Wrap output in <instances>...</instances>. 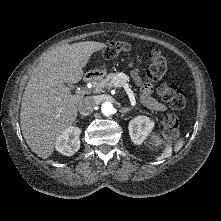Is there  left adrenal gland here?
Instances as JSON below:
<instances>
[{"label": "left adrenal gland", "instance_id": "obj_1", "mask_svg": "<svg viewBox=\"0 0 221 221\" xmlns=\"http://www.w3.org/2000/svg\"><path fill=\"white\" fill-rule=\"evenodd\" d=\"M130 110H131L130 108H126V107L123 108V107H122V108L120 109V112H121L122 114H125L126 112H129Z\"/></svg>", "mask_w": 221, "mask_h": 221}]
</instances>
